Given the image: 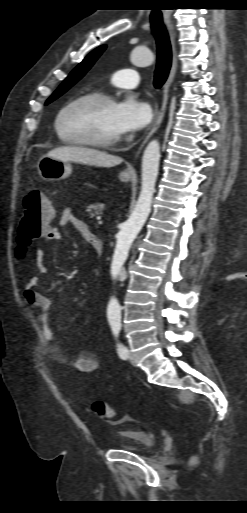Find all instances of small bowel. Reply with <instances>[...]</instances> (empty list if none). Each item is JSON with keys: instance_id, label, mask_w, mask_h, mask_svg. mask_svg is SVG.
Wrapping results in <instances>:
<instances>
[{"instance_id": "c3829d8e", "label": "small bowel", "mask_w": 247, "mask_h": 513, "mask_svg": "<svg viewBox=\"0 0 247 513\" xmlns=\"http://www.w3.org/2000/svg\"><path fill=\"white\" fill-rule=\"evenodd\" d=\"M59 227H70L80 232L85 239L91 234V230L86 222L77 218L70 208H64L60 214ZM62 238V233L58 227L52 226L43 236L42 240L46 242L58 241ZM35 264L39 275L30 277L24 286V302L37 311V317L42 327V333L46 342V354L57 362L70 366L79 372L92 373L99 367V360L94 352L82 350L76 353L74 357L69 356L62 347V338L57 331V325L52 327L50 319V310L52 302L48 296L38 291L40 285V275L47 272V266L44 260V251L38 249L35 253Z\"/></svg>"}]
</instances>
